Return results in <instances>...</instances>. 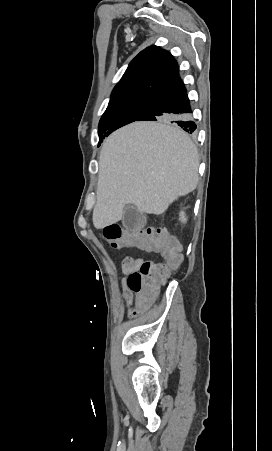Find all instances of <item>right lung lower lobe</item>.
<instances>
[{"mask_svg": "<svg viewBox=\"0 0 272 451\" xmlns=\"http://www.w3.org/2000/svg\"><path fill=\"white\" fill-rule=\"evenodd\" d=\"M192 113L187 90L178 75L151 97L148 109L136 121H170L192 133L196 130Z\"/></svg>", "mask_w": 272, "mask_h": 451, "instance_id": "obj_1", "label": "right lung lower lobe"}]
</instances>
